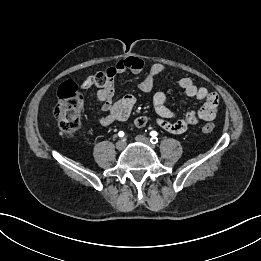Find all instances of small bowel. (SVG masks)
I'll use <instances>...</instances> for the list:
<instances>
[{"label": "small bowel", "instance_id": "small-bowel-1", "mask_svg": "<svg viewBox=\"0 0 261 261\" xmlns=\"http://www.w3.org/2000/svg\"><path fill=\"white\" fill-rule=\"evenodd\" d=\"M144 67L145 63L142 59L128 57L118 61L114 66L104 71L106 84L99 88L96 94L97 102L101 105V109L106 112V115L98 118L100 125L109 126L115 121H124L129 117L136 103V98L132 94H126L115 100V78L126 72L139 74L143 71ZM167 71V67L162 63L151 65L145 78L138 84L139 90L142 92L151 91L155 78ZM90 79L91 77L84 81V88L92 87ZM177 83L184 90L186 96L203 100L204 104L198 112L191 111L183 118L171 121L175 117V113L166 106V93L162 91L155 93L153 96V106L157 115L156 122L161 128L173 134H181L189 126L195 125L199 121H211L216 117L219 107V99L216 93L209 92L205 87L197 86L190 77H180Z\"/></svg>", "mask_w": 261, "mask_h": 261}]
</instances>
